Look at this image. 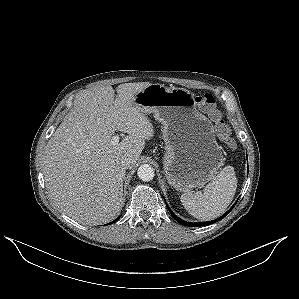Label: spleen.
Wrapping results in <instances>:
<instances>
[{"label":"spleen","instance_id":"1","mask_svg":"<svg viewBox=\"0 0 299 299\" xmlns=\"http://www.w3.org/2000/svg\"><path fill=\"white\" fill-rule=\"evenodd\" d=\"M237 189V178L232 166L224 167L204 188L203 193L184 191L180 200L193 217L208 221L219 217L230 205Z\"/></svg>","mask_w":299,"mask_h":299}]
</instances>
